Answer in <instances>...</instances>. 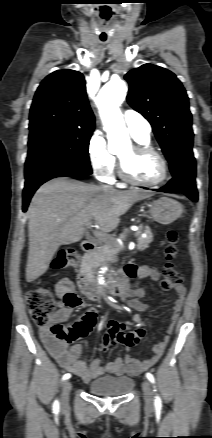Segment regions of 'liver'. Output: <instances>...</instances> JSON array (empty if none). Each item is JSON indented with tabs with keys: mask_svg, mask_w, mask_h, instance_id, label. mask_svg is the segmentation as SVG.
Masks as SVG:
<instances>
[{
	"mask_svg": "<svg viewBox=\"0 0 212 438\" xmlns=\"http://www.w3.org/2000/svg\"><path fill=\"white\" fill-rule=\"evenodd\" d=\"M147 191L105 189L59 177L43 184L28 208L29 251L26 280L43 275L62 244L82 239L94 220L103 233L111 232L134 202L151 197Z\"/></svg>",
	"mask_w": 212,
	"mask_h": 438,
	"instance_id": "obj_1",
	"label": "liver"
}]
</instances>
